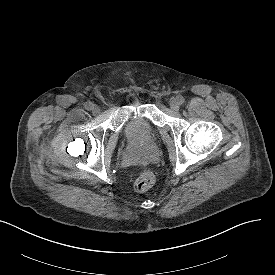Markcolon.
<instances>
[{
    "label": "colon",
    "instance_id": "obj_1",
    "mask_svg": "<svg viewBox=\"0 0 275 275\" xmlns=\"http://www.w3.org/2000/svg\"><path fill=\"white\" fill-rule=\"evenodd\" d=\"M155 182V176L152 171L143 169L139 172L134 183V189L138 193L146 192Z\"/></svg>",
    "mask_w": 275,
    "mask_h": 275
}]
</instances>
